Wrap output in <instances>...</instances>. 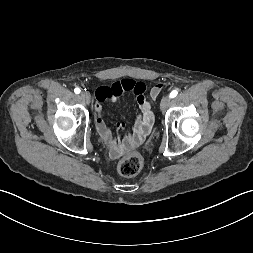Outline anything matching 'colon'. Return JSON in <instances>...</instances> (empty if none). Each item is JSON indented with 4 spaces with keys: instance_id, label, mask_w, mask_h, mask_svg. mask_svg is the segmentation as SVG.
I'll return each mask as SVG.
<instances>
[{
    "instance_id": "5ec220e1",
    "label": "colon",
    "mask_w": 253,
    "mask_h": 253,
    "mask_svg": "<svg viewBox=\"0 0 253 253\" xmlns=\"http://www.w3.org/2000/svg\"><path fill=\"white\" fill-rule=\"evenodd\" d=\"M143 167V160L139 154L133 153L122 157L117 165L118 172L125 177L138 174Z\"/></svg>"
}]
</instances>
